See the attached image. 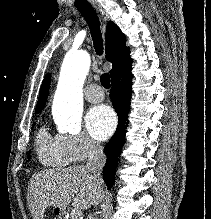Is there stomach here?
Segmentation results:
<instances>
[{
    "label": "stomach",
    "mask_w": 211,
    "mask_h": 219,
    "mask_svg": "<svg viewBox=\"0 0 211 219\" xmlns=\"http://www.w3.org/2000/svg\"><path fill=\"white\" fill-rule=\"evenodd\" d=\"M54 212H55V214L59 215L60 217H62L65 213V211L60 209V208H55Z\"/></svg>",
    "instance_id": "0dacf381"
}]
</instances>
